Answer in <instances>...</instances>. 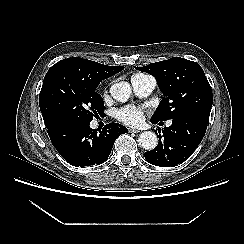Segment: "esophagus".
Here are the masks:
<instances>
[{
    "label": "esophagus",
    "instance_id": "obj_1",
    "mask_svg": "<svg viewBox=\"0 0 244 244\" xmlns=\"http://www.w3.org/2000/svg\"><path fill=\"white\" fill-rule=\"evenodd\" d=\"M128 131H129L130 133H138V132H140L139 130H137V129H133V128H129Z\"/></svg>",
    "mask_w": 244,
    "mask_h": 244
}]
</instances>
